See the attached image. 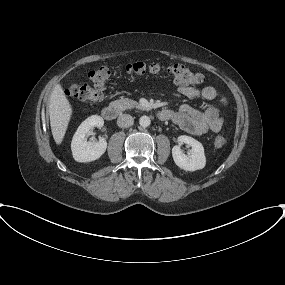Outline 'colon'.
<instances>
[{
  "label": "colon",
  "instance_id": "1",
  "mask_svg": "<svg viewBox=\"0 0 285 285\" xmlns=\"http://www.w3.org/2000/svg\"><path fill=\"white\" fill-rule=\"evenodd\" d=\"M115 73H125L131 76H158L164 75L171 78L179 85H201L206 81V77L201 73L191 71L186 66L179 63H144L134 62L125 66L94 68L88 74L90 83H81L71 85L66 90V95L70 98L95 104L99 102L104 95L107 81ZM216 147H222L226 144V138L219 135L215 138Z\"/></svg>",
  "mask_w": 285,
  "mask_h": 285
}]
</instances>
